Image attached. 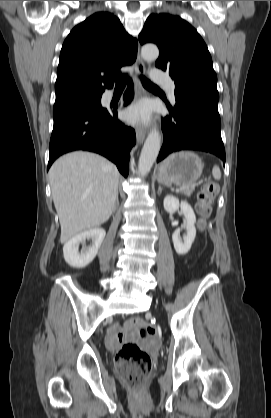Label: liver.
Returning a JSON list of instances; mask_svg holds the SVG:
<instances>
[{
    "instance_id": "6515ba94",
    "label": "liver",
    "mask_w": 271,
    "mask_h": 418,
    "mask_svg": "<svg viewBox=\"0 0 271 418\" xmlns=\"http://www.w3.org/2000/svg\"><path fill=\"white\" fill-rule=\"evenodd\" d=\"M119 177L114 164L90 152L69 153L54 162L49 179L61 225V243L110 218Z\"/></svg>"
}]
</instances>
